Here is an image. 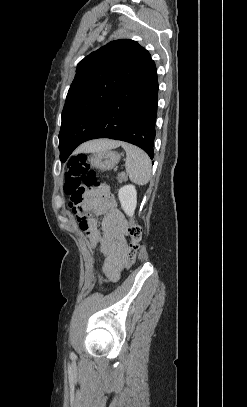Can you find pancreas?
<instances>
[{"instance_id":"cf45deb5","label":"pancreas","mask_w":247,"mask_h":407,"mask_svg":"<svg viewBox=\"0 0 247 407\" xmlns=\"http://www.w3.org/2000/svg\"><path fill=\"white\" fill-rule=\"evenodd\" d=\"M118 181L119 182H122L123 180H126L127 179V176H126V174L125 173H120L119 175H118Z\"/></svg>"}]
</instances>
